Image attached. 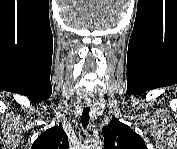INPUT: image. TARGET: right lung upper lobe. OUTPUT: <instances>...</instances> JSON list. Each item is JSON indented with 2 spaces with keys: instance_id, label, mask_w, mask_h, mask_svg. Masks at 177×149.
Listing matches in <instances>:
<instances>
[{
  "instance_id": "right-lung-upper-lobe-1",
  "label": "right lung upper lobe",
  "mask_w": 177,
  "mask_h": 149,
  "mask_svg": "<svg viewBox=\"0 0 177 149\" xmlns=\"http://www.w3.org/2000/svg\"><path fill=\"white\" fill-rule=\"evenodd\" d=\"M32 149H68V137L61 126H55L40 135Z\"/></svg>"
}]
</instances>
